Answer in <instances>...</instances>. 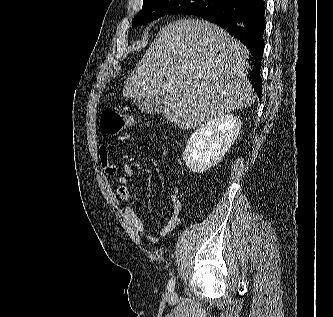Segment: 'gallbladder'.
<instances>
[{
	"instance_id": "obj_1",
	"label": "gallbladder",
	"mask_w": 333,
	"mask_h": 317,
	"mask_svg": "<svg viewBox=\"0 0 333 317\" xmlns=\"http://www.w3.org/2000/svg\"><path fill=\"white\" fill-rule=\"evenodd\" d=\"M134 104L146 114H159L162 112L165 99L163 96H145L135 99Z\"/></svg>"
}]
</instances>
